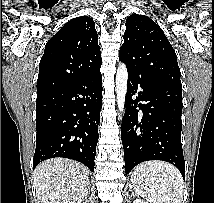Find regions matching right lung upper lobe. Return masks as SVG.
<instances>
[{
    "label": "right lung upper lobe",
    "instance_id": "obj_1",
    "mask_svg": "<svg viewBox=\"0 0 214 203\" xmlns=\"http://www.w3.org/2000/svg\"><path fill=\"white\" fill-rule=\"evenodd\" d=\"M94 21L76 17L46 44L39 64L37 96L100 70L102 59Z\"/></svg>",
    "mask_w": 214,
    "mask_h": 203
}]
</instances>
